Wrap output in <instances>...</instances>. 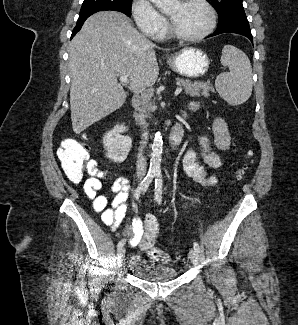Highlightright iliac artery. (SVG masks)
I'll list each match as a JSON object with an SVG mask.
<instances>
[{
    "label": "right iliac artery",
    "instance_id": "82829eb1",
    "mask_svg": "<svg viewBox=\"0 0 298 325\" xmlns=\"http://www.w3.org/2000/svg\"><path fill=\"white\" fill-rule=\"evenodd\" d=\"M155 176V172H148V174L146 175V177L143 179V181L139 184V186L136 188L135 192H134V197L136 199H138L140 197L141 192H145L149 185L151 184V182L153 181V178ZM126 242V239H122L121 241H119L117 247L120 248L122 247Z\"/></svg>",
    "mask_w": 298,
    "mask_h": 325
}]
</instances>
